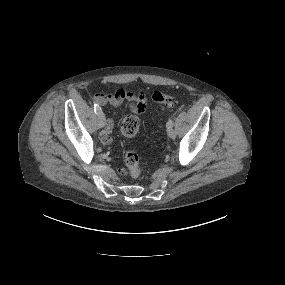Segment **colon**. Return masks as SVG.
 <instances>
[{"label":"colon","instance_id":"5ec220e1","mask_svg":"<svg viewBox=\"0 0 285 285\" xmlns=\"http://www.w3.org/2000/svg\"><path fill=\"white\" fill-rule=\"evenodd\" d=\"M152 99L155 103L162 107L172 108L175 107L179 102L178 99L170 94L156 91L152 95ZM140 128V120L135 115H128L124 117L121 122V133L126 137L135 136ZM125 164L132 176H139L141 174V167L139 165V157L134 151H127L125 153Z\"/></svg>","mask_w":285,"mask_h":285}]
</instances>
